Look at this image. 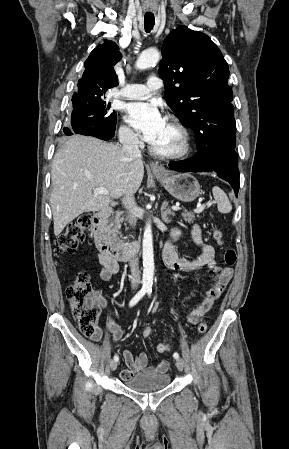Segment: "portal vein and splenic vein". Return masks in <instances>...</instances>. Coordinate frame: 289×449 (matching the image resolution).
<instances>
[{"label": "portal vein and splenic vein", "instance_id": "1", "mask_svg": "<svg viewBox=\"0 0 289 449\" xmlns=\"http://www.w3.org/2000/svg\"><path fill=\"white\" fill-rule=\"evenodd\" d=\"M94 193L95 194H104V195H107L109 192H108V190L106 189V188H96L95 190H94ZM204 208H205V205H202V206H199L198 208H196L195 210H194V212L195 213H200V212H202L203 210H204ZM172 209L173 210H175V211H177V210H180L181 208L179 207V206H172Z\"/></svg>", "mask_w": 289, "mask_h": 449}]
</instances>
